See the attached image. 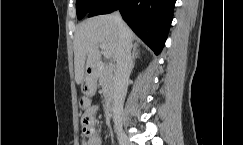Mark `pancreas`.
<instances>
[{
  "label": "pancreas",
  "instance_id": "cf45deb5",
  "mask_svg": "<svg viewBox=\"0 0 243 145\" xmlns=\"http://www.w3.org/2000/svg\"><path fill=\"white\" fill-rule=\"evenodd\" d=\"M114 72L113 69L106 65L100 74V85L104 95H108L113 91Z\"/></svg>",
  "mask_w": 243,
  "mask_h": 145
}]
</instances>
